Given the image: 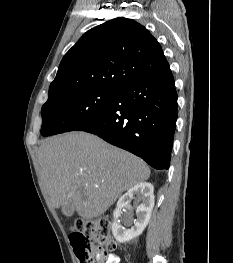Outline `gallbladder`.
Instances as JSON below:
<instances>
[{
	"label": "gallbladder",
	"mask_w": 233,
	"mask_h": 263,
	"mask_svg": "<svg viewBox=\"0 0 233 263\" xmlns=\"http://www.w3.org/2000/svg\"><path fill=\"white\" fill-rule=\"evenodd\" d=\"M74 212H75V209L72 207L70 203L62 207V213L67 217L73 216Z\"/></svg>",
	"instance_id": "gallbladder-1"
}]
</instances>
